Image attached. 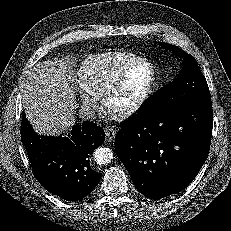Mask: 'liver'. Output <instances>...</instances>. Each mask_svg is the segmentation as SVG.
Segmentation results:
<instances>
[{"label":"liver","mask_w":231,"mask_h":231,"mask_svg":"<svg viewBox=\"0 0 231 231\" xmlns=\"http://www.w3.org/2000/svg\"><path fill=\"white\" fill-rule=\"evenodd\" d=\"M65 60L38 62L23 84L22 104L39 134L59 135L75 124L76 97Z\"/></svg>","instance_id":"obj_1"}]
</instances>
